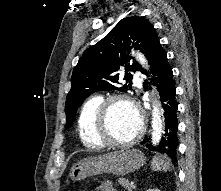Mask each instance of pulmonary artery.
<instances>
[{
	"label": "pulmonary artery",
	"instance_id": "pulmonary-artery-1",
	"mask_svg": "<svg viewBox=\"0 0 221 191\" xmlns=\"http://www.w3.org/2000/svg\"><path fill=\"white\" fill-rule=\"evenodd\" d=\"M133 80L135 84L141 85V80L138 78L137 74H133Z\"/></svg>",
	"mask_w": 221,
	"mask_h": 191
}]
</instances>
